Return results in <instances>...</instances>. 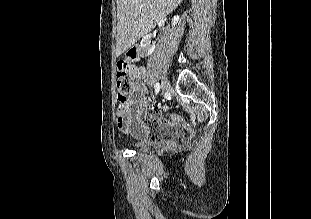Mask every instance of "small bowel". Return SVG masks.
Instances as JSON below:
<instances>
[{"instance_id": "obj_1", "label": "small bowel", "mask_w": 311, "mask_h": 219, "mask_svg": "<svg viewBox=\"0 0 311 219\" xmlns=\"http://www.w3.org/2000/svg\"><path fill=\"white\" fill-rule=\"evenodd\" d=\"M145 71L140 68L136 71L135 84L130 95V100L126 104H119L116 109L117 126L123 133L131 134L138 140L150 139L151 136H163L167 134L170 141L177 143L178 141H187V137L177 134L173 131H166L163 126L161 110L152 108L151 111L144 113L148 102L145 96L146 87L141 80L144 77ZM166 109V107H163ZM171 125L179 126L181 119L177 116L171 117ZM154 127L152 130L150 127Z\"/></svg>"}]
</instances>
